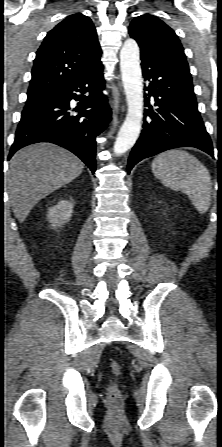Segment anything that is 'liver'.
Masks as SVG:
<instances>
[{"label":"liver","mask_w":222,"mask_h":447,"mask_svg":"<svg viewBox=\"0 0 222 447\" xmlns=\"http://www.w3.org/2000/svg\"><path fill=\"white\" fill-rule=\"evenodd\" d=\"M83 169L78 157L50 143L29 145L16 152L7 172V189L18 221L24 222L41 199L73 181Z\"/></svg>","instance_id":"1"}]
</instances>
